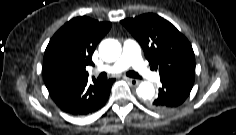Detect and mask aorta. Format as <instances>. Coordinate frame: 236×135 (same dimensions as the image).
Instances as JSON below:
<instances>
[{"instance_id":"aorta-1","label":"aorta","mask_w":236,"mask_h":135,"mask_svg":"<svg viewBox=\"0 0 236 135\" xmlns=\"http://www.w3.org/2000/svg\"><path fill=\"white\" fill-rule=\"evenodd\" d=\"M99 53L106 62H114L121 55V45L117 40L105 39L99 45ZM136 93L140 98L152 99L155 95V89L152 83L143 81L136 89Z\"/></svg>"}]
</instances>
